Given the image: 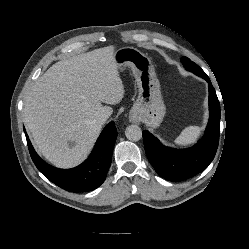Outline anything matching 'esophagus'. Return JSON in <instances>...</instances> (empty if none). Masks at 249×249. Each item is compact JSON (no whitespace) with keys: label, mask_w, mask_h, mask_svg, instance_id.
I'll return each instance as SVG.
<instances>
[{"label":"esophagus","mask_w":249,"mask_h":249,"mask_svg":"<svg viewBox=\"0 0 249 249\" xmlns=\"http://www.w3.org/2000/svg\"><path fill=\"white\" fill-rule=\"evenodd\" d=\"M132 122L138 123V119L137 118H132Z\"/></svg>","instance_id":"34e87169"}]
</instances>
